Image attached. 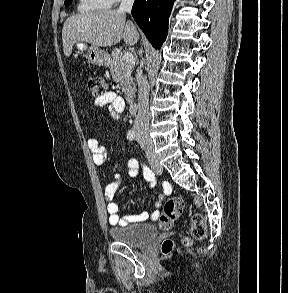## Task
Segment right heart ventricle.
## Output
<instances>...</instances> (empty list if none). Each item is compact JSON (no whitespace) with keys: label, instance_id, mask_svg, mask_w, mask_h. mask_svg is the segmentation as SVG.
Segmentation results:
<instances>
[{"label":"right heart ventricle","instance_id":"obj_1","mask_svg":"<svg viewBox=\"0 0 288 293\" xmlns=\"http://www.w3.org/2000/svg\"><path fill=\"white\" fill-rule=\"evenodd\" d=\"M112 6L110 0H79L77 9L80 12L106 10Z\"/></svg>","mask_w":288,"mask_h":293}]
</instances>
